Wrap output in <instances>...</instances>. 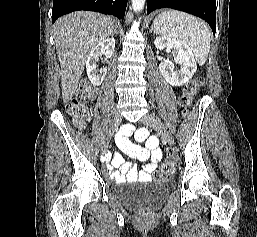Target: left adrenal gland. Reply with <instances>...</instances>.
I'll list each match as a JSON object with an SVG mask.
<instances>
[{
    "label": "left adrenal gland",
    "mask_w": 257,
    "mask_h": 237,
    "mask_svg": "<svg viewBox=\"0 0 257 237\" xmlns=\"http://www.w3.org/2000/svg\"><path fill=\"white\" fill-rule=\"evenodd\" d=\"M153 29H154V26H153V25H151L150 32H152V31H153Z\"/></svg>",
    "instance_id": "obj_1"
}]
</instances>
